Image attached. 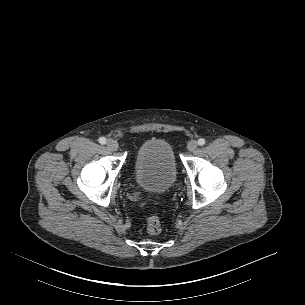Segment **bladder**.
<instances>
[{"mask_svg":"<svg viewBox=\"0 0 305 305\" xmlns=\"http://www.w3.org/2000/svg\"><path fill=\"white\" fill-rule=\"evenodd\" d=\"M133 175L143 189L164 192L177 181V168L171 145L161 138H150L137 149L133 158Z\"/></svg>","mask_w":305,"mask_h":305,"instance_id":"31cf9c89","label":"bladder"}]
</instances>
